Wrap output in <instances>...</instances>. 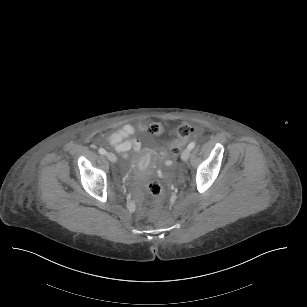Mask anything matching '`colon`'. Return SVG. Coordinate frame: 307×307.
Instances as JSON below:
<instances>
[{
  "label": "colon",
  "instance_id": "1",
  "mask_svg": "<svg viewBox=\"0 0 307 307\" xmlns=\"http://www.w3.org/2000/svg\"><path fill=\"white\" fill-rule=\"evenodd\" d=\"M162 132V127L154 123L148 128V133L153 135H158ZM193 132V128L191 125L183 124L179 126L177 130L178 142L173 147H168V150L173 152L176 155L181 153V147L184 145L186 140L189 138L191 133ZM146 189L153 195L157 196L162 193L161 183L157 180H152L146 184Z\"/></svg>",
  "mask_w": 307,
  "mask_h": 307
}]
</instances>
